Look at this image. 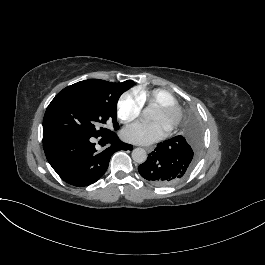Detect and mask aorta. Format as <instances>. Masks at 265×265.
<instances>
[{"mask_svg":"<svg viewBox=\"0 0 265 265\" xmlns=\"http://www.w3.org/2000/svg\"><path fill=\"white\" fill-rule=\"evenodd\" d=\"M146 112V111H144ZM132 159L139 164H142L147 159V153L143 148H135L132 151Z\"/></svg>","mask_w":265,"mask_h":265,"instance_id":"obj_1","label":"aorta"}]
</instances>
